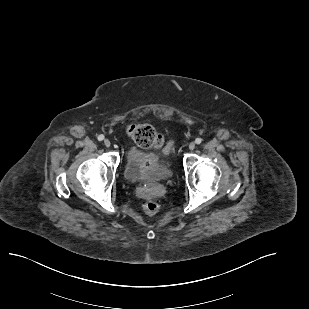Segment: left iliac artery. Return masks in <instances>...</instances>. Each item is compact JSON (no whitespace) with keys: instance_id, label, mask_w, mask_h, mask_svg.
<instances>
[{"instance_id":"obj_1","label":"left iliac artery","mask_w":309,"mask_h":309,"mask_svg":"<svg viewBox=\"0 0 309 309\" xmlns=\"http://www.w3.org/2000/svg\"><path fill=\"white\" fill-rule=\"evenodd\" d=\"M201 142H202V139H201V138H196V139H195V143H196V144H200Z\"/></svg>"}]
</instances>
